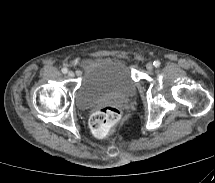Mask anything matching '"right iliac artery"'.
<instances>
[{
	"label": "right iliac artery",
	"instance_id": "1",
	"mask_svg": "<svg viewBox=\"0 0 215 183\" xmlns=\"http://www.w3.org/2000/svg\"><path fill=\"white\" fill-rule=\"evenodd\" d=\"M68 72V69L67 68H63L62 69V73L66 74Z\"/></svg>",
	"mask_w": 215,
	"mask_h": 183
}]
</instances>
